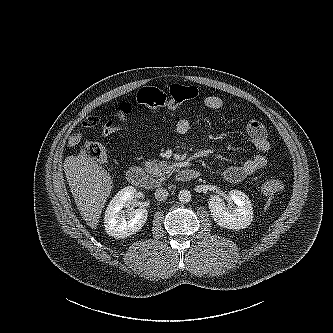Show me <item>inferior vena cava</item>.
Listing matches in <instances>:
<instances>
[{"label":"inferior vena cava","instance_id":"602c4592","mask_svg":"<svg viewBox=\"0 0 333 333\" xmlns=\"http://www.w3.org/2000/svg\"><path fill=\"white\" fill-rule=\"evenodd\" d=\"M154 194H155V198L158 201H162L167 198L169 193H168L167 189H165V188H158V189H156Z\"/></svg>","mask_w":333,"mask_h":333}]
</instances>
